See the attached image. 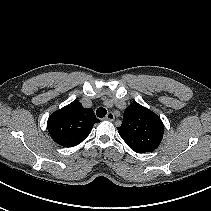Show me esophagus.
<instances>
[{
	"label": "esophagus",
	"instance_id": "esophagus-1",
	"mask_svg": "<svg viewBox=\"0 0 211 211\" xmlns=\"http://www.w3.org/2000/svg\"><path fill=\"white\" fill-rule=\"evenodd\" d=\"M114 119H115L114 113L113 112H108L106 117H105V120L114 121Z\"/></svg>",
	"mask_w": 211,
	"mask_h": 211
}]
</instances>
